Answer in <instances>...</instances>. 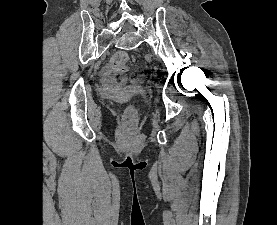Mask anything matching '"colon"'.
<instances>
[{
    "label": "colon",
    "mask_w": 277,
    "mask_h": 225,
    "mask_svg": "<svg viewBox=\"0 0 277 225\" xmlns=\"http://www.w3.org/2000/svg\"><path fill=\"white\" fill-rule=\"evenodd\" d=\"M129 65V55L124 52L114 54L109 61V68L112 72L113 82L116 84L133 83L139 80V75L134 72L127 73ZM137 118L135 107L128 106L123 115L125 129L134 127Z\"/></svg>",
    "instance_id": "5ec220e1"
}]
</instances>
